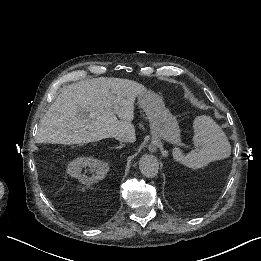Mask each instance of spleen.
<instances>
[{
    "mask_svg": "<svg viewBox=\"0 0 261 261\" xmlns=\"http://www.w3.org/2000/svg\"><path fill=\"white\" fill-rule=\"evenodd\" d=\"M193 145L198 147L182 154L180 163L191 169L203 168L230 156L228 139L222 129L209 117L198 116L193 122Z\"/></svg>",
    "mask_w": 261,
    "mask_h": 261,
    "instance_id": "spleen-1",
    "label": "spleen"
}]
</instances>
